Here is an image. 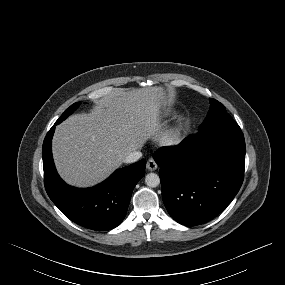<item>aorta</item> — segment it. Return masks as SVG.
<instances>
[{
    "mask_svg": "<svg viewBox=\"0 0 285 285\" xmlns=\"http://www.w3.org/2000/svg\"><path fill=\"white\" fill-rule=\"evenodd\" d=\"M145 183L149 187H157L160 184V178L155 173H149L145 177Z\"/></svg>",
    "mask_w": 285,
    "mask_h": 285,
    "instance_id": "aorta-1",
    "label": "aorta"
}]
</instances>
